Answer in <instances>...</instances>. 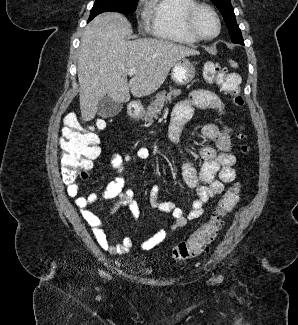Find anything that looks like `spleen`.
Segmentation results:
<instances>
[{
	"label": "spleen",
	"instance_id": "spleen-1",
	"mask_svg": "<svg viewBox=\"0 0 298 325\" xmlns=\"http://www.w3.org/2000/svg\"><path fill=\"white\" fill-rule=\"evenodd\" d=\"M230 62V66H233V68H238L239 64L238 62H235V60H228Z\"/></svg>",
	"mask_w": 298,
	"mask_h": 325
}]
</instances>
